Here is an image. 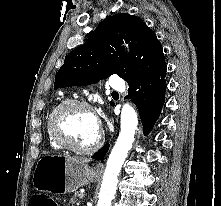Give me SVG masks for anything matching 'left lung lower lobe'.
I'll list each match as a JSON object with an SVG mask.
<instances>
[{"label": "left lung lower lobe", "mask_w": 221, "mask_h": 206, "mask_svg": "<svg viewBox=\"0 0 221 206\" xmlns=\"http://www.w3.org/2000/svg\"><path fill=\"white\" fill-rule=\"evenodd\" d=\"M165 77L166 69L129 86L126 98L131 99L137 106L144 134H147L152 129L164 104L166 91ZM108 149L109 144H106L92 158L102 160Z\"/></svg>", "instance_id": "left-lung-lower-lobe-1"}]
</instances>
